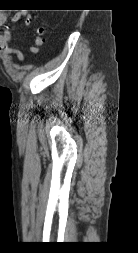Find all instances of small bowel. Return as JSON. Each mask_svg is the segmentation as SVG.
Segmentation results:
<instances>
[{
  "instance_id": "c3829d8e",
  "label": "small bowel",
  "mask_w": 138,
  "mask_h": 253,
  "mask_svg": "<svg viewBox=\"0 0 138 253\" xmlns=\"http://www.w3.org/2000/svg\"><path fill=\"white\" fill-rule=\"evenodd\" d=\"M24 19V23L26 26H29L31 24V16L27 15L24 12H18L16 13L12 21L17 22L20 19ZM8 20V14L7 13H0V27L4 26ZM11 33L9 29H5L2 32H0V49L3 51L4 55H15L18 58L19 62H22L24 57L23 54L16 49L11 48ZM31 51H33V47L30 48Z\"/></svg>"
}]
</instances>
